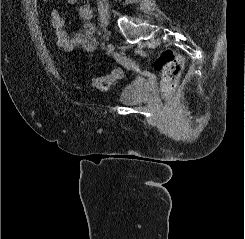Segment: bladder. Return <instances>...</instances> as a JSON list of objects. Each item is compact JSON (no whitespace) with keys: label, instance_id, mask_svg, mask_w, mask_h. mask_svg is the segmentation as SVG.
Here are the masks:
<instances>
[{"label":"bladder","instance_id":"31cf9c89","mask_svg":"<svg viewBox=\"0 0 245 239\" xmlns=\"http://www.w3.org/2000/svg\"><path fill=\"white\" fill-rule=\"evenodd\" d=\"M150 84L133 80L127 86L123 87L119 93V103L128 105H137L148 98Z\"/></svg>","mask_w":245,"mask_h":239}]
</instances>
